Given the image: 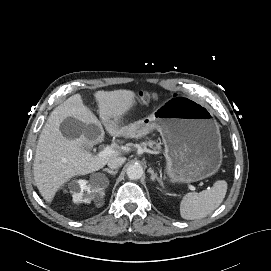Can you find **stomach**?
Returning <instances> with one entry per match:
<instances>
[{"mask_svg":"<svg viewBox=\"0 0 271 271\" xmlns=\"http://www.w3.org/2000/svg\"><path fill=\"white\" fill-rule=\"evenodd\" d=\"M126 136L146 135L157 129L165 146L166 173L174 183H190L215 174L222 163L217 121L205 105L173 97L150 116L127 126Z\"/></svg>","mask_w":271,"mask_h":271,"instance_id":"stomach-1","label":"stomach"}]
</instances>
